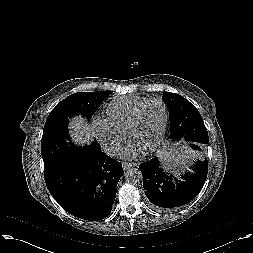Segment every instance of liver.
Returning a JSON list of instances; mask_svg holds the SVG:
<instances>
[{
    "instance_id": "obj_1",
    "label": "liver",
    "mask_w": 253,
    "mask_h": 253,
    "mask_svg": "<svg viewBox=\"0 0 253 253\" xmlns=\"http://www.w3.org/2000/svg\"><path fill=\"white\" fill-rule=\"evenodd\" d=\"M71 136L76 142L86 143L91 138L90 127L86 121L79 117L71 121L70 125Z\"/></svg>"
}]
</instances>
